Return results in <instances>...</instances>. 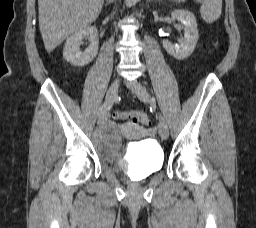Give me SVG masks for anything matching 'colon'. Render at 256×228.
<instances>
[{"mask_svg":"<svg viewBox=\"0 0 256 228\" xmlns=\"http://www.w3.org/2000/svg\"><path fill=\"white\" fill-rule=\"evenodd\" d=\"M113 118L115 120L130 119V120H133L134 122H138L144 125H148L150 123L147 114L141 110L116 111L113 114Z\"/></svg>","mask_w":256,"mask_h":228,"instance_id":"1","label":"colon"}]
</instances>
